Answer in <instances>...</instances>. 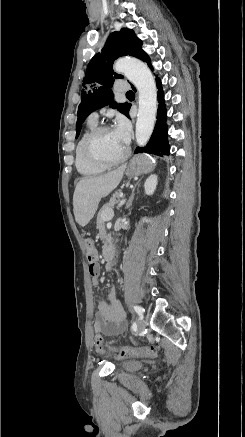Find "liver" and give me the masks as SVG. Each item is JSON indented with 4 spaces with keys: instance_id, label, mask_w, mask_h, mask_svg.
Returning a JSON list of instances; mask_svg holds the SVG:
<instances>
[{
    "instance_id": "1",
    "label": "liver",
    "mask_w": 245,
    "mask_h": 437,
    "mask_svg": "<svg viewBox=\"0 0 245 437\" xmlns=\"http://www.w3.org/2000/svg\"><path fill=\"white\" fill-rule=\"evenodd\" d=\"M125 165L106 174L82 178L75 187L73 195V212L75 221L86 226L94 217L99 202L110 194L122 180Z\"/></svg>"
}]
</instances>
